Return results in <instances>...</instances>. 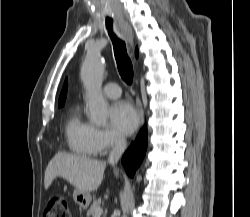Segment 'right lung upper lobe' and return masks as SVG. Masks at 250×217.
Segmentation results:
<instances>
[{"label": "right lung upper lobe", "instance_id": "right-lung-upper-lobe-1", "mask_svg": "<svg viewBox=\"0 0 250 217\" xmlns=\"http://www.w3.org/2000/svg\"><path fill=\"white\" fill-rule=\"evenodd\" d=\"M138 49L136 48L135 50V55L136 57H138ZM67 87H68V83H67V79L64 82L60 97H59V101H58V106L62 107L65 103V99H66V94H67Z\"/></svg>", "mask_w": 250, "mask_h": 217}]
</instances>
